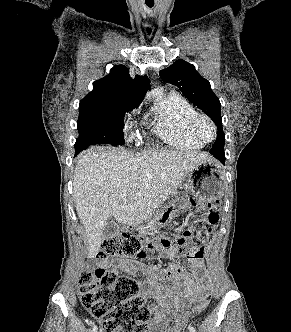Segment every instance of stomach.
<instances>
[{"mask_svg": "<svg viewBox=\"0 0 291 332\" xmlns=\"http://www.w3.org/2000/svg\"><path fill=\"white\" fill-rule=\"evenodd\" d=\"M223 180V171L214 160L210 159L197 164L188 174L185 188L187 194L183 195L180 190H174L173 199L149 218L147 228L154 229L166 225L176 211H188L191 208L190 200L199 204L219 198Z\"/></svg>", "mask_w": 291, "mask_h": 332, "instance_id": "stomach-1", "label": "stomach"}]
</instances>
